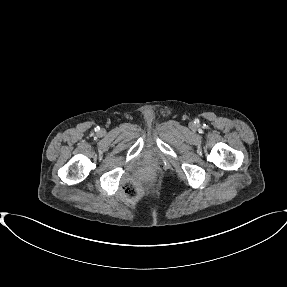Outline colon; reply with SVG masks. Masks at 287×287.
Returning a JSON list of instances; mask_svg holds the SVG:
<instances>
[{
  "mask_svg": "<svg viewBox=\"0 0 287 287\" xmlns=\"http://www.w3.org/2000/svg\"><path fill=\"white\" fill-rule=\"evenodd\" d=\"M124 194L128 201H134L139 196V190L132 181H127L124 185Z\"/></svg>",
  "mask_w": 287,
  "mask_h": 287,
  "instance_id": "5ec220e1",
  "label": "colon"
}]
</instances>
